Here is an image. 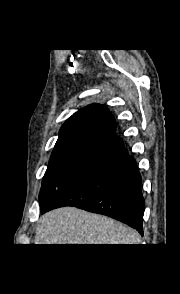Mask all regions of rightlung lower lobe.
Segmentation results:
<instances>
[{"label": "right lung lower lobe", "mask_w": 180, "mask_h": 294, "mask_svg": "<svg viewBox=\"0 0 180 294\" xmlns=\"http://www.w3.org/2000/svg\"><path fill=\"white\" fill-rule=\"evenodd\" d=\"M63 206L107 215L143 234L141 176L120 137L103 141L41 212Z\"/></svg>", "instance_id": "1"}]
</instances>
